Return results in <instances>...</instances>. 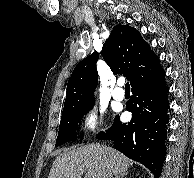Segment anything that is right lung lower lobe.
<instances>
[{
    "label": "right lung lower lobe",
    "instance_id": "1",
    "mask_svg": "<svg viewBox=\"0 0 194 178\" xmlns=\"http://www.w3.org/2000/svg\"><path fill=\"white\" fill-rule=\"evenodd\" d=\"M164 76L161 70L153 78L134 86L132 98L126 103V109L132 113L131 122L122 124L116 116L112 127L97 136L112 140L117 150L145 165L155 178L160 177L166 157L169 102Z\"/></svg>",
    "mask_w": 194,
    "mask_h": 178
}]
</instances>
